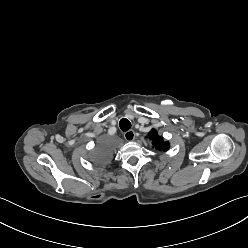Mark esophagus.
Segmentation results:
<instances>
[{
    "label": "esophagus",
    "instance_id": "obj_1",
    "mask_svg": "<svg viewBox=\"0 0 248 248\" xmlns=\"http://www.w3.org/2000/svg\"><path fill=\"white\" fill-rule=\"evenodd\" d=\"M124 138L127 141H133L135 139V132L133 130H128L124 133Z\"/></svg>",
    "mask_w": 248,
    "mask_h": 248
}]
</instances>
